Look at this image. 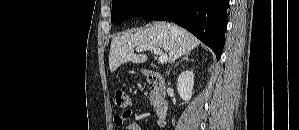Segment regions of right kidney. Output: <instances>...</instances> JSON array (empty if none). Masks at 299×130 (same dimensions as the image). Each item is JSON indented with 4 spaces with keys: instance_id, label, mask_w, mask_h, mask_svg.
<instances>
[{
    "instance_id": "obj_1",
    "label": "right kidney",
    "mask_w": 299,
    "mask_h": 130,
    "mask_svg": "<svg viewBox=\"0 0 299 130\" xmlns=\"http://www.w3.org/2000/svg\"><path fill=\"white\" fill-rule=\"evenodd\" d=\"M194 74L193 71L182 72L177 81V90L184 101H190L193 95Z\"/></svg>"
}]
</instances>
